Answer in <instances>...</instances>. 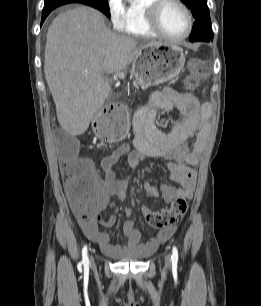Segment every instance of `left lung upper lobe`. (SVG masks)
Listing matches in <instances>:
<instances>
[{"label":"left lung upper lobe","instance_id":"obj_1","mask_svg":"<svg viewBox=\"0 0 261 306\" xmlns=\"http://www.w3.org/2000/svg\"><path fill=\"white\" fill-rule=\"evenodd\" d=\"M195 18L189 40L210 42L213 40L209 8L206 0H181Z\"/></svg>","mask_w":261,"mask_h":306}]
</instances>
